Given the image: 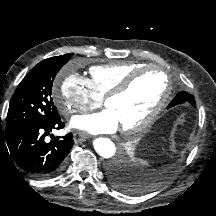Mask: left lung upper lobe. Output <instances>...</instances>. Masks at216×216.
Listing matches in <instances>:
<instances>
[{
  "label": "left lung upper lobe",
  "mask_w": 216,
  "mask_h": 216,
  "mask_svg": "<svg viewBox=\"0 0 216 216\" xmlns=\"http://www.w3.org/2000/svg\"><path fill=\"white\" fill-rule=\"evenodd\" d=\"M181 93H182L183 95H185V96H189L187 102H189L192 106L195 107L196 103H195L194 97H193L191 94H189V93H187V92H184V91H181Z\"/></svg>",
  "instance_id": "left-lung-upper-lobe-1"
}]
</instances>
